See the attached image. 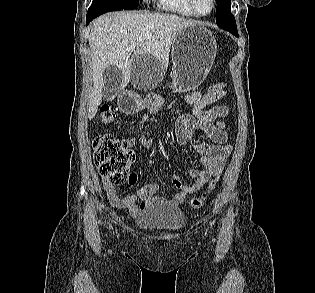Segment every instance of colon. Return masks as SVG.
Returning <instances> with one entry per match:
<instances>
[{"mask_svg": "<svg viewBox=\"0 0 315 293\" xmlns=\"http://www.w3.org/2000/svg\"><path fill=\"white\" fill-rule=\"evenodd\" d=\"M213 83L214 85L208 89L206 94H221L226 89L221 78H214ZM99 116L100 120L105 123L116 121L115 112L109 105H103L100 108ZM93 150L94 161L104 183L116 186L134 182L135 176L130 172V166L135 156L130 150L127 140L111 134H101L93 140ZM218 182L219 176L212 177L200 194L188 199V205L193 209H200Z\"/></svg>", "mask_w": 315, "mask_h": 293, "instance_id": "1", "label": "colon"}]
</instances>
